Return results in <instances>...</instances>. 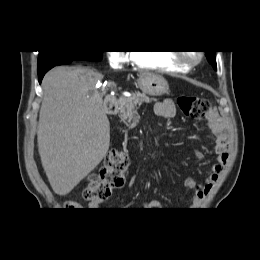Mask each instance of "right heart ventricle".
Masks as SVG:
<instances>
[{
	"mask_svg": "<svg viewBox=\"0 0 260 260\" xmlns=\"http://www.w3.org/2000/svg\"><path fill=\"white\" fill-rule=\"evenodd\" d=\"M131 59L136 66L145 69L167 73H185L188 70L175 60L173 54L166 51H134Z\"/></svg>",
	"mask_w": 260,
	"mask_h": 260,
	"instance_id": "1",
	"label": "right heart ventricle"
}]
</instances>
